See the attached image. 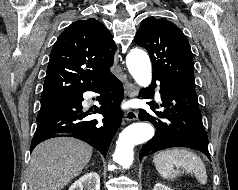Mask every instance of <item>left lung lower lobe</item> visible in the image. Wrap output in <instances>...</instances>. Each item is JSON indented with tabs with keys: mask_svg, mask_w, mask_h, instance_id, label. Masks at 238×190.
<instances>
[{
	"mask_svg": "<svg viewBox=\"0 0 238 190\" xmlns=\"http://www.w3.org/2000/svg\"><path fill=\"white\" fill-rule=\"evenodd\" d=\"M155 80L160 81L161 110H155L159 106L149 102L147 104L151 106L152 111H139L140 120L151 122L156 128L154 137L143 146L140 159L149 153L171 147L198 149L210 159L208 138L202 123L195 87L158 77H153V86ZM150 91L141 92L140 96L149 98Z\"/></svg>",
	"mask_w": 238,
	"mask_h": 190,
	"instance_id": "1",
	"label": "left lung lower lobe"
}]
</instances>
